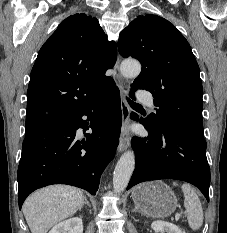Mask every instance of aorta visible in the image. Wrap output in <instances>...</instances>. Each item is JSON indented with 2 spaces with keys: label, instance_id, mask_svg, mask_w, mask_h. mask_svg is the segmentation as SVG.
I'll use <instances>...</instances> for the list:
<instances>
[{
  "label": "aorta",
  "instance_id": "762f6f07",
  "mask_svg": "<svg viewBox=\"0 0 227 233\" xmlns=\"http://www.w3.org/2000/svg\"><path fill=\"white\" fill-rule=\"evenodd\" d=\"M120 71L125 77H137L141 71V64L136 60H125L120 66ZM135 168V156L131 151L125 152L117 162L113 173V188L122 192L127 187Z\"/></svg>",
  "mask_w": 227,
  "mask_h": 233
}]
</instances>
